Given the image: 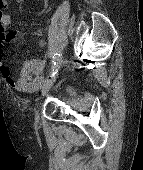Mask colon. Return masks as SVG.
<instances>
[{
    "label": "colon",
    "mask_w": 143,
    "mask_h": 170,
    "mask_svg": "<svg viewBox=\"0 0 143 170\" xmlns=\"http://www.w3.org/2000/svg\"><path fill=\"white\" fill-rule=\"evenodd\" d=\"M6 9V2L5 0H0V15L4 14L3 11Z\"/></svg>",
    "instance_id": "colon-1"
}]
</instances>
